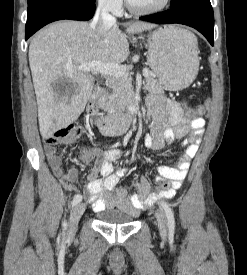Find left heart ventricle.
Wrapping results in <instances>:
<instances>
[{"instance_id": "obj_1", "label": "left heart ventricle", "mask_w": 247, "mask_h": 275, "mask_svg": "<svg viewBox=\"0 0 247 275\" xmlns=\"http://www.w3.org/2000/svg\"><path fill=\"white\" fill-rule=\"evenodd\" d=\"M136 8H152L160 5L164 0H130Z\"/></svg>"}]
</instances>
